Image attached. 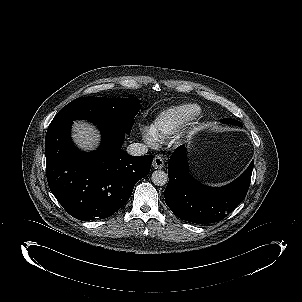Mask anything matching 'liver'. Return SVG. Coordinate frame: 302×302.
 <instances>
[{
  "label": "liver",
  "instance_id": "6515ba94",
  "mask_svg": "<svg viewBox=\"0 0 302 302\" xmlns=\"http://www.w3.org/2000/svg\"><path fill=\"white\" fill-rule=\"evenodd\" d=\"M72 131L75 143L83 150H92L99 144V132L87 122H75Z\"/></svg>",
  "mask_w": 302,
  "mask_h": 302
}]
</instances>
